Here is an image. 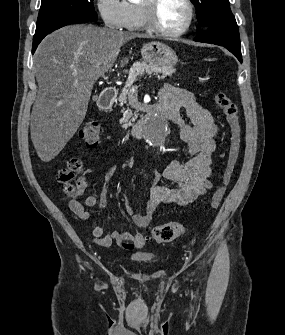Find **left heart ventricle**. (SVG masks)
Listing matches in <instances>:
<instances>
[{
    "label": "left heart ventricle",
    "mask_w": 285,
    "mask_h": 335,
    "mask_svg": "<svg viewBox=\"0 0 285 335\" xmlns=\"http://www.w3.org/2000/svg\"><path fill=\"white\" fill-rule=\"evenodd\" d=\"M188 17L187 8L179 1H161L158 8V21L162 27L173 31L181 28Z\"/></svg>",
    "instance_id": "left-heart-ventricle-1"
}]
</instances>
